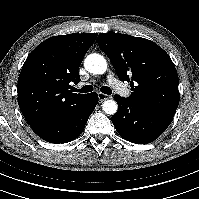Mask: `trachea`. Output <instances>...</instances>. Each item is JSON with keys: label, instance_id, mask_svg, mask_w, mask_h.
I'll return each instance as SVG.
<instances>
[{"label": "trachea", "instance_id": "trachea-1", "mask_svg": "<svg viewBox=\"0 0 199 199\" xmlns=\"http://www.w3.org/2000/svg\"><path fill=\"white\" fill-rule=\"evenodd\" d=\"M91 91H93V87L91 85H85L81 89L76 90V92H81V93H88ZM100 91L104 94H108V95L112 94V90L110 89V87H107V86L101 87Z\"/></svg>", "mask_w": 199, "mask_h": 199}]
</instances>
